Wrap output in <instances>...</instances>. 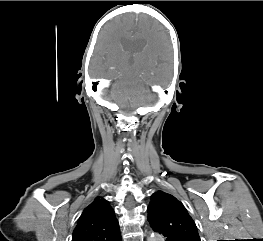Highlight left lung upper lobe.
I'll use <instances>...</instances> for the list:
<instances>
[{
	"mask_svg": "<svg viewBox=\"0 0 263 241\" xmlns=\"http://www.w3.org/2000/svg\"><path fill=\"white\" fill-rule=\"evenodd\" d=\"M149 204L148 221L181 241H200L195 222L184 205L174 196L163 191L152 194Z\"/></svg>",
	"mask_w": 263,
	"mask_h": 241,
	"instance_id": "5c2ea615",
	"label": "left lung upper lobe"
}]
</instances>
